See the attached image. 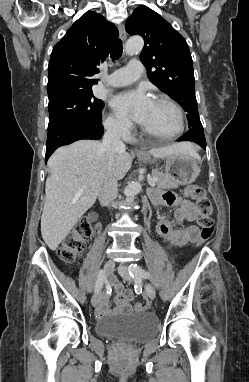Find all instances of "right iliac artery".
<instances>
[{
  "label": "right iliac artery",
  "mask_w": 249,
  "mask_h": 382,
  "mask_svg": "<svg viewBox=\"0 0 249 382\" xmlns=\"http://www.w3.org/2000/svg\"><path fill=\"white\" fill-rule=\"evenodd\" d=\"M105 279H106L105 273H104V271L101 270L99 272V275H98V278L96 281L95 292H99L101 290Z\"/></svg>",
  "instance_id": "82829eb1"
}]
</instances>
